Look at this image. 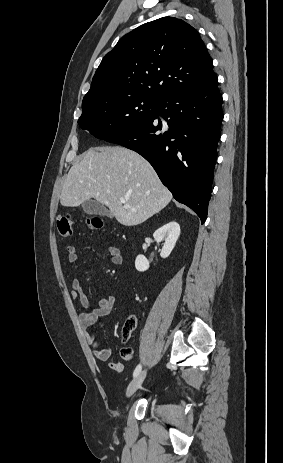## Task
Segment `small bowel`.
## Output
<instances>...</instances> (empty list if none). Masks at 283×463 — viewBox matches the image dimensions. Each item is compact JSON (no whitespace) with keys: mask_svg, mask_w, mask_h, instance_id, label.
I'll use <instances>...</instances> for the list:
<instances>
[{"mask_svg":"<svg viewBox=\"0 0 283 463\" xmlns=\"http://www.w3.org/2000/svg\"><path fill=\"white\" fill-rule=\"evenodd\" d=\"M108 253L110 255L111 262L114 265L122 264V255L116 246H109ZM68 261L70 263H76L78 260V252L73 245L67 246ZM71 297L74 301H77L79 305L86 310L81 315V326L85 331V338L87 343L92 347L94 356L99 361H108L111 356V349L109 347L102 346L95 338L92 327L96 324L99 318L108 315L114 305V297H104L99 301L97 307H93L88 297L83 293L79 280L73 279L71 281ZM124 335V333H123ZM109 368L115 372H122L124 366L120 362L109 361Z\"/></svg>","mask_w":283,"mask_h":463,"instance_id":"obj_1","label":"small bowel"}]
</instances>
